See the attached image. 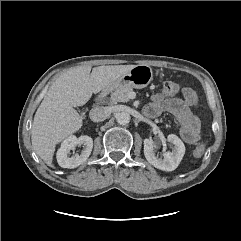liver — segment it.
Returning a JSON list of instances; mask_svg holds the SVG:
<instances>
[{
    "mask_svg": "<svg viewBox=\"0 0 241 241\" xmlns=\"http://www.w3.org/2000/svg\"><path fill=\"white\" fill-rule=\"evenodd\" d=\"M135 65L79 66L61 74L51 85L37 109L31 141L36 154L50 167L55 147L82 127L83 118L74 109L83 106L128 73ZM91 72V73H90Z\"/></svg>",
    "mask_w": 241,
    "mask_h": 241,
    "instance_id": "1",
    "label": "liver"
}]
</instances>
